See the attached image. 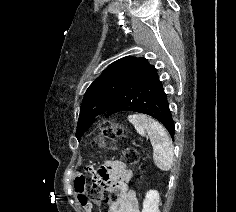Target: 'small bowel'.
Masks as SVG:
<instances>
[{
    "instance_id": "small-bowel-1",
    "label": "small bowel",
    "mask_w": 236,
    "mask_h": 212,
    "mask_svg": "<svg viewBox=\"0 0 236 212\" xmlns=\"http://www.w3.org/2000/svg\"><path fill=\"white\" fill-rule=\"evenodd\" d=\"M100 176L107 185H110L116 179L128 181L131 178V172L126 170L121 162L113 161L100 172ZM84 184V178L79 176L75 189L83 207V212H91L90 203L84 193ZM111 212H140L135 193L123 190L120 198L111 204Z\"/></svg>"
}]
</instances>
